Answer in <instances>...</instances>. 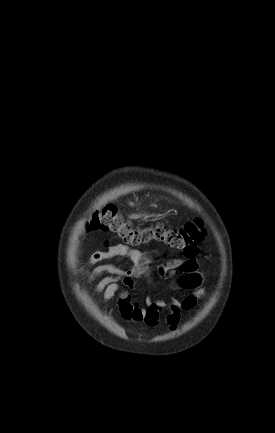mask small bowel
Segmentation results:
<instances>
[{
	"instance_id": "1",
	"label": "small bowel",
	"mask_w": 275,
	"mask_h": 433,
	"mask_svg": "<svg viewBox=\"0 0 275 433\" xmlns=\"http://www.w3.org/2000/svg\"><path fill=\"white\" fill-rule=\"evenodd\" d=\"M124 257L133 266L124 269L116 264L108 263L90 267L112 258ZM159 257L155 251L131 249L121 244L108 245L92 253L88 259L84 274L91 282L102 277L95 285V293L102 296L105 303L117 297V307L120 316L126 321L144 323L155 327L162 312H166V323L175 330L181 320L182 312L192 311L198 301L205 295L204 275L199 270L197 253L192 257H182L166 260L157 267L161 279L171 281L175 288L190 291L182 299L169 302L154 300L150 297L142 302L134 300L130 291L135 286L136 278H148L153 275V262Z\"/></svg>"
}]
</instances>
